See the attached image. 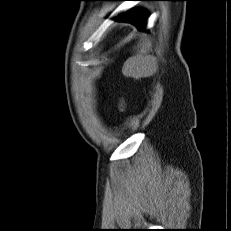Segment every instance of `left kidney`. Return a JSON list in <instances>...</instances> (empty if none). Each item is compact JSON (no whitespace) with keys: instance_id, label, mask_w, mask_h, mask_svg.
Masks as SVG:
<instances>
[{"instance_id":"obj_1","label":"left kidney","mask_w":231,"mask_h":231,"mask_svg":"<svg viewBox=\"0 0 231 231\" xmlns=\"http://www.w3.org/2000/svg\"><path fill=\"white\" fill-rule=\"evenodd\" d=\"M156 68V63L153 57L148 55H138L129 58L124 63L122 72L126 77L139 79L153 75Z\"/></svg>"}]
</instances>
